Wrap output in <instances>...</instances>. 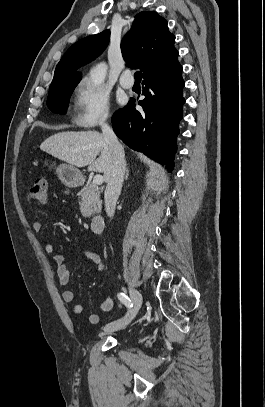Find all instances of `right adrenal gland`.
I'll list each match as a JSON object with an SVG mask.
<instances>
[{"label":"right adrenal gland","mask_w":265,"mask_h":407,"mask_svg":"<svg viewBox=\"0 0 265 407\" xmlns=\"http://www.w3.org/2000/svg\"><path fill=\"white\" fill-rule=\"evenodd\" d=\"M128 175H129V170H128V168H126V175H125L126 180L128 179Z\"/></svg>","instance_id":"2a0ac1e0"}]
</instances>
